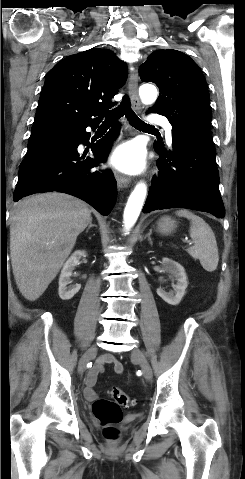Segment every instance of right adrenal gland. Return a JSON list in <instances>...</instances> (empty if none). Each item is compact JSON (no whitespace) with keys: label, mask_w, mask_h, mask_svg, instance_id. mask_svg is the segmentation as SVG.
Wrapping results in <instances>:
<instances>
[{"label":"right adrenal gland","mask_w":245,"mask_h":479,"mask_svg":"<svg viewBox=\"0 0 245 479\" xmlns=\"http://www.w3.org/2000/svg\"><path fill=\"white\" fill-rule=\"evenodd\" d=\"M92 227H97V226H96V225H94V224H92V221H91V222L89 223V226H88V228L86 229V233H88V232H89V230H90V228H92Z\"/></svg>","instance_id":"1"}]
</instances>
